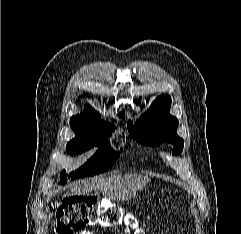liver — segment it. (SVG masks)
<instances>
[{"mask_svg":"<svg viewBox=\"0 0 241 234\" xmlns=\"http://www.w3.org/2000/svg\"><path fill=\"white\" fill-rule=\"evenodd\" d=\"M150 177L136 174H118L91 181H83L74 186L65 196L89 194L93 190L100 191L104 198L112 201H125L141 191Z\"/></svg>","mask_w":241,"mask_h":234,"instance_id":"obj_1","label":"liver"}]
</instances>
